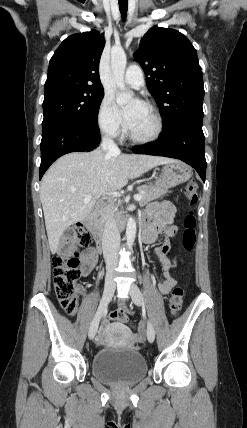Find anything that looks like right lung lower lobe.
<instances>
[{"instance_id": "1", "label": "right lung lower lobe", "mask_w": 247, "mask_h": 428, "mask_svg": "<svg viewBox=\"0 0 247 428\" xmlns=\"http://www.w3.org/2000/svg\"><path fill=\"white\" fill-rule=\"evenodd\" d=\"M98 126H86L57 120L42 124L40 179L60 156L77 151H91L99 145Z\"/></svg>"}]
</instances>
